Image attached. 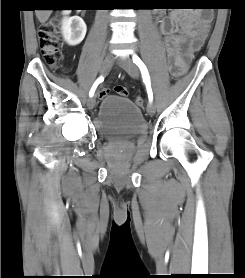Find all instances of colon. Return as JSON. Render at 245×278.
<instances>
[{
	"label": "colon",
	"mask_w": 245,
	"mask_h": 278,
	"mask_svg": "<svg viewBox=\"0 0 245 278\" xmlns=\"http://www.w3.org/2000/svg\"><path fill=\"white\" fill-rule=\"evenodd\" d=\"M193 8H200L203 11H209L213 8V5L210 3V0H203L202 3L196 4ZM209 18L206 16L205 21L202 25L204 30L209 29ZM58 26V20L52 19L51 21L44 24L38 31V41L41 48V53L43 56L44 62L51 66L56 67L62 61V52L60 50V42L56 35V27ZM170 73L173 77H177L180 75V71L171 66ZM116 93L119 96H127L128 90L125 87H116ZM109 93V90L103 89L100 91L99 95H106ZM135 103L138 106H142L144 104V98L142 96L135 97Z\"/></svg>",
	"instance_id": "colon-1"
}]
</instances>
